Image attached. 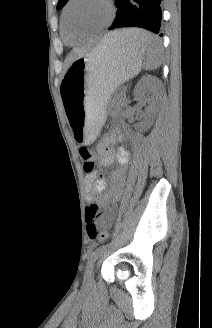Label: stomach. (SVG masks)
<instances>
[{"label": "stomach", "mask_w": 212, "mask_h": 328, "mask_svg": "<svg viewBox=\"0 0 212 328\" xmlns=\"http://www.w3.org/2000/svg\"><path fill=\"white\" fill-rule=\"evenodd\" d=\"M144 56L143 50L127 46L115 35H109L70 64L60 91L66 120L77 142L90 143L96 138L111 95L140 72ZM76 100L79 102H74Z\"/></svg>", "instance_id": "obj_1"}]
</instances>
